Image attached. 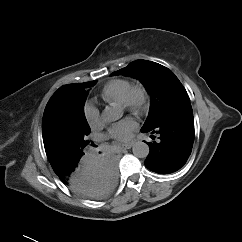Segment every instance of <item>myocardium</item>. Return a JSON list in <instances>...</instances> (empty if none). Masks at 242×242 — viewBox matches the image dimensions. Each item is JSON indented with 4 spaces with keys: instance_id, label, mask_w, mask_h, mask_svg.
Returning <instances> with one entry per match:
<instances>
[{
    "instance_id": "myocardium-1",
    "label": "myocardium",
    "mask_w": 242,
    "mask_h": 242,
    "mask_svg": "<svg viewBox=\"0 0 242 242\" xmlns=\"http://www.w3.org/2000/svg\"><path fill=\"white\" fill-rule=\"evenodd\" d=\"M150 95L148 88L142 82H136L129 86L121 103L126 110L140 115L149 107Z\"/></svg>"
}]
</instances>
